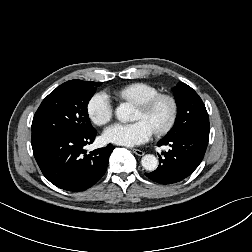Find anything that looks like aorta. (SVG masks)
<instances>
[{
  "label": "aorta",
  "instance_id": "obj_1",
  "mask_svg": "<svg viewBox=\"0 0 252 252\" xmlns=\"http://www.w3.org/2000/svg\"><path fill=\"white\" fill-rule=\"evenodd\" d=\"M116 117L121 122H129L135 119V109L130 103L120 104L115 111ZM141 164L147 171H154L158 167V160L152 154L142 157Z\"/></svg>",
  "mask_w": 252,
  "mask_h": 252
}]
</instances>
